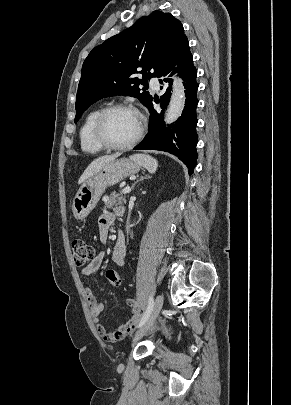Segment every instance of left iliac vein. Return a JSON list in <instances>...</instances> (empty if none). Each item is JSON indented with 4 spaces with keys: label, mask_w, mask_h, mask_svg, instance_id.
<instances>
[{
    "label": "left iliac vein",
    "mask_w": 291,
    "mask_h": 405,
    "mask_svg": "<svg viewBox=\"0 0 291 405\" xmlns=\"http://www.w3.org/2000/svg\"><path fill=\"white\" fill-rule=\"evenodd\" d=\"M163 306V296L162 295H158L155 299L154 305H153V309L152 312L148 318V320L146 321V323L136 332V334L134 335L133 338V343L137 342L140 338H142L144 335L147 334V332L149 331V329L153 326V324L155 323L161 309Z\"/></svg>",
    "instance_id": "1"
}]
</instances>
